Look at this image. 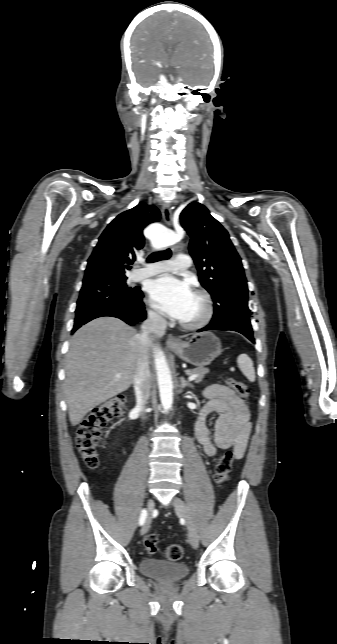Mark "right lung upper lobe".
<instances>
[{
  "mask_svg": "<svg viewBox=\"0 0 337 644\" xmlns=\"http://www.w3.org/2000/svg\"><path fill=\"white\" fill-rule=\"evenodd\" d=\"M159 218V210L144 203L119 214L101 234L88 259L83 281L127 278L125 271L135 260L136 252L144 246L143 229Z\"/></svg>",
  "mask_w": 337,
  "mask_h": 644,
  "instance_id": "right-lung-upper-lobe-1",
  "label": "right lung upper lobe"
}]
</instances>
